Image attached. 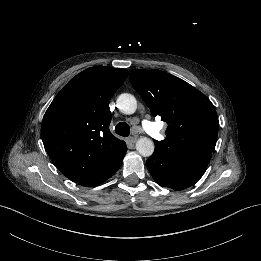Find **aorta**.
Listing matches in <instances>:
<instances>
[{"label": "aorta", "instance_id": "obj_1", "mask_svg": "<svg viewBox=\"0 0 261 261\" xmlns=\"http://www.w3.org/2000/svg\"><path fill=\"white\" fill-rule=\"evenodd\" d=\"M116 103L120 111L125 114H132L136 111L137 108V101L135 97L127 93L121 94L117 98ZM136 150L140 155L144 157H149L154 152V143L149 138H140L136 143Z\"/></svg>", "mask_w": 261, "mask_h": 261}]
</instances>
